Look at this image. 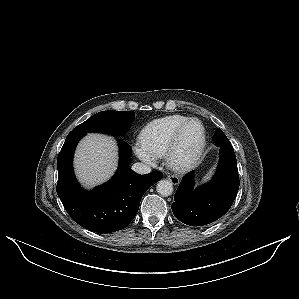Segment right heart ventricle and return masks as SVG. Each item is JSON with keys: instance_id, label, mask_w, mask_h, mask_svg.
Wrapping results in <instances>:
<instances>
[{"instance_id": "right-heart-ventricle-1", "label": "right heart ventricle", "mask_w": 299, "mask_h": 299, "mask_svg": "<svg viewBox=\"0 0 299 299\" xmlns=\"http://www.w3.org/2000/svg\"><path fill=\"white\" fill-rule=\"evenodd\" d=\"M187 119L175 114L153 120L142 132L143 144L157 158L163 157L174 133Z\"/></svg>"}]
</instances>
